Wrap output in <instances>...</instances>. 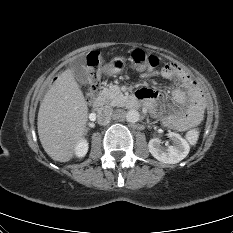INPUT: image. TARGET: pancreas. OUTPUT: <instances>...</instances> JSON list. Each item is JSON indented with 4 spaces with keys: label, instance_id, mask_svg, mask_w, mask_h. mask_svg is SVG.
Here are the masks:
<instances>
[{
    "label": "pancreas",
    "instance_id": "pancreas-1",
    "mask_svg": "<svg viewBox=\"0 0 233 233\" xmlns=\"http://www.w3.org/2000/svg\"><path fill=\"white\" fill-rule=\"evenodd\" d=\"M107 102L112 106L124 107L129 105V97L125 96L117 85L109 86L102 91Z\"/></svg>",
    "mask_w": 233,
    "mask_h": 233
}]
</instances>
